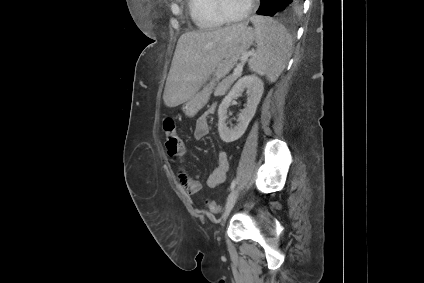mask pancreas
Masks as SVG:
<instances>
[{"mask_svg":"<svg viewBox=\"0 0 424 283\" xmlns=\"http://www.w3.org/2000/svg\"><path fill=\"white\" fill-rule=\"evenodd\" d=\"M239 75H230L223 79L216 87L214 91V96H223L226 91L231 87L234 81L238 78Z\"/></svg>","mask_w":424,"mask_h":283,"instance_id":"pancreas-1","label":"pancreas"}]
</instances>
